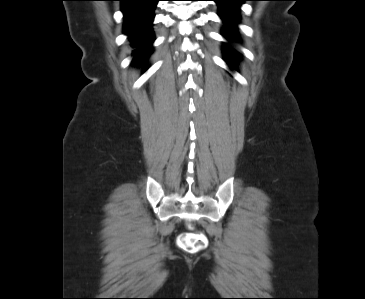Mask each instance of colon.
<instances>
[{
    "label": "colon",
    "instance_id": "colon-1",
    "mask_svg": "<svg viewBox=\"0 0 365 299\" xmlns=\"http://www.w3.org/2000/svg\"><path fill=\"white\" fill-rule=\"evenodd\" d=\"M208 243L207 236L202 232H189L181 235L178 244L181 249L187 252H200Z\"/></svg>",
    "mask_w": 365,
    "mask_h": 299
}]
</instances>
